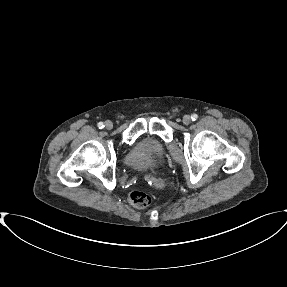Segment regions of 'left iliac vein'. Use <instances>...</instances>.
<instances>
[{
  "mask_svg": "<svg viewBox=\"0 0 287 287\" xmlns=\"http://www.w3.org/2000/svg\"><path fill=\"white\" fill-rule=\"evenodd\" d=\"M190 122H191V117H190L189 115H185V116L183 117V123H184L185 125H188V124H190Z\"/></svg>",
  "mask_w": 287,
  "mask_h": 287,
  "instance_id": "obj_1",
  "label": "left iliac vein"
}]
</instances>
